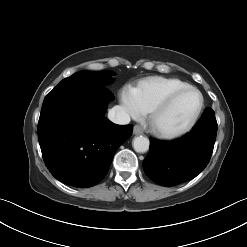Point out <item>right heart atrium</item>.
Returning <instances> with one entry per match:
<instances>
[{
  "label": "right heart atrium",
  "mask_w": 247,
  "mask_h": 247,
  "mask_svg": "<svg viewBox=\"0 0 247 247\" xmlns=\"http://www.w3.org/2000/svg\"><path fill=\"white\" fill-rule=\"evenodd\" d=\"M121 103L124 110L134 118L139 117L144 113L135 89L132 87H125L121 93Z\"/></svg>",
  "instance_id": "d8ad5b80"
}]
</instances>
